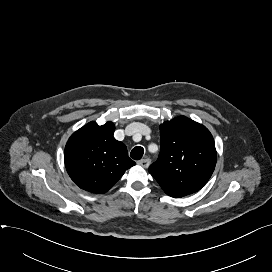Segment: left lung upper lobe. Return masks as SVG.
Returning <instances> with one entry per match:
<instances>
[{"instance_id":"1","label":"left lung upper lobe","mask_w":272,"mask_h":272,"mask_svg":"<svg viewBox=\"0 0 272 272\" xmlns=\"http://www.w3.org/2000/svg\"><path fill=\"white\" fill-rule=\"evenodd\" d=\"M161 150L148 169L163 191L174 198L200 190L210 179L217 159L209 130L180 116L160 125Z\"/></svg>"}]
</instances>
